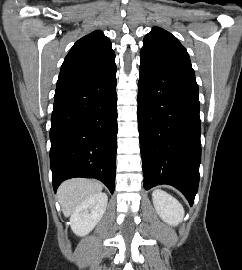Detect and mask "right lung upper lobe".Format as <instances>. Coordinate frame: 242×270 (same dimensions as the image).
<instances>
[{
  "mask_svg": "<svg viewBox=\"0 0 242 270\" xmlns=\"http://www.w3.org/2000/svg\"><path fill=\"white\" fill-rule=\"evenodd\" d=\"M115 63L110 40L96 30L78 40L61 66L57 90L79 83Z\"/></svg>",
  "mask_w": 242,
  "mask_h": 270,
  "instance_id": "cb5924a9",
  "label": "right lung upper lobe"
}]
</instances>
